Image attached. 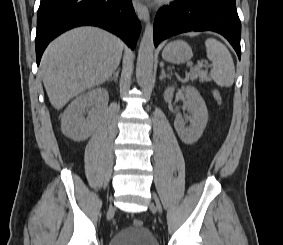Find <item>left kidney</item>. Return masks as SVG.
<instances>
[{
    "label": "left kidney",
    "instance_id": "left-kidney-1",
    "mask_svg": "<svg viewBox=\"0 0 283 245\" xmlns=\"http://www.w3.org/2000/svg\"><path fill=\"white\" fill-rule=\"evenodd\" d=\"M174 87L165 90V99L168 101L173 97ZM186 101L183 109L188 110L191 116L188 118L190 125L185 126V120L177 114L174 127L180 139L186 144H193L201 137L208 122V111L206 104L197 89L187 86L184 89Z\"/></svg>",
    "mask_w": 283,
    "mask_h": 245
}]
</instances>
